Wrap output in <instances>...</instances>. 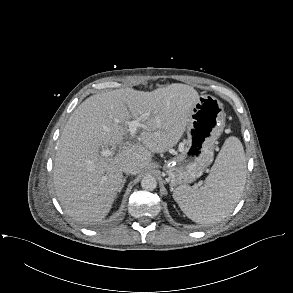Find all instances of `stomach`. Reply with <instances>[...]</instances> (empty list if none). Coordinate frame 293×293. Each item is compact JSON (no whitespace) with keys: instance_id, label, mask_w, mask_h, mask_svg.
Listing matches in <instances>:
<instances>
[{"instance_id":"1","label":"stomach","mask_w":293,"mask_h":293,"mask_svg":"<svg viewBox=\"0 0 293 293\" xmlns=\"http://www.w3.org/2000/svg\"><path fill=\"white\" fill-rule=\"evenodd\" d=\"M225 127L223 104L212 95H201L186 127L187 139L166 165L171 188L187 185L202 175L213 161L216 140Z\"/></svg>"}]
</instances>
